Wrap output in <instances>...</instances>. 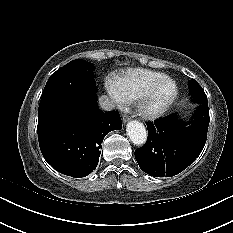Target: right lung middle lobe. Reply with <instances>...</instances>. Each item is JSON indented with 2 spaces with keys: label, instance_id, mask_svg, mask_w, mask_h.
Instances as JSON below:
<instances>
[{
  "label": "right lung middle lobe",
  "instance_id": "obj_1",
  "mask_svg": "<svg viewBox=\"0 0 233 233\" xmlns=\"http://www.w3.org/2000/svg\"><path fill=\"white\" fill-rule=\"evenodd\" d=\"M93 65L82 60H73L56 72L47 81L38 110V120L56 113H70L76 94L81 89L96 91Z\"/></svg>",
  "mask_w": 233,
  "mask_h": 233
}]
</instances>
